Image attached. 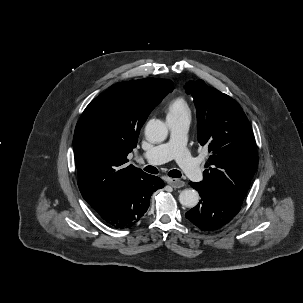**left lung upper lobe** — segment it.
Returning <instances> with one entry per match:
<instances>
[{
  "label": "left lung upper lobe",
  "mask_w": 303,
  "mask_h": 303,
  "mask_svg": "<svg viewBox=\"0 0 303 303\" xmlns=\"http://www.w3.org/2000/svg\"><path fill=\"white\" fill-rule=\"evenodd\" d=\"M185 88L197 109L198 142L210 152L202 182L243 203L258 164L255 138L245 113L234 99L203 80L190 81Z\"/></svg>",
  "instance_id": "left-lung-upper-lobe-1"
}]
</instances>
